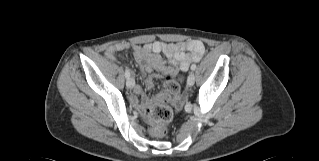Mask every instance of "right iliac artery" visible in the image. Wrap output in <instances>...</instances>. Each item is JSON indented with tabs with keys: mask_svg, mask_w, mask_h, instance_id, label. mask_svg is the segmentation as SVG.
Instances as JSON below:
<instances>
[{
	"mask_svg": "<svg viewBox=\"0 0 319 161\" xmlns=\"http://www.w3.org/2000/svg\"><path fill=\"white\" fill-rule=\"evenodd\" d=\"M125 76H126V78L128 79L129 78V76H130V72H129V70L128 69H126L125 70Z\"/></svg>",
	"mask_w": 319,
	"mask_h": 161,
	"instance_id": "obj_1",
	"label": "right iliac artery"
}]
</instances>
